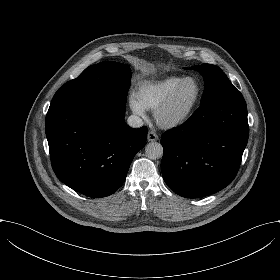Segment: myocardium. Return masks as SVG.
<instances>
[{"label":"myocardium","mask_w":280,"mask_h":280,"mask_svg":"<svg viewBox=\"0 0 280 280\" xmlns=\"http://www.w3.org/2000/svg\"><path fill=\"white\" fill-rule=\"evenodd\" d=\"M194 79L198 82L199 84V94L197 97V100L195 104L188 109L187 111L180 113V114H173L172 109L174 105L175 98L181 91L183 85L185 84L186 81ZM204 96V85L195 76H186L182 79V81L179 83V85L171 92L169 95L167 101L156 110V119L159 125L162 128L165 129H176L182 125H184L195 113V111L198 109L202 99Z\"/></svg>","instance_id":"obj_1"}]
</instances>
